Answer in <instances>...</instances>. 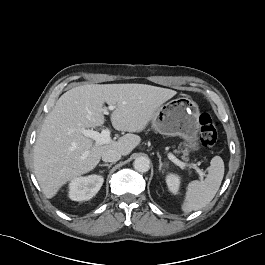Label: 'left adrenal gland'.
I'll return each instance as SVG.
<instances>
[{"label": "left adrenal gland", "mask_w": 265, "mask_h": 265, "mask_svg": "<svg viewBox=\"0 0 265 265\" xmlns=\"http://www.w3.org/2000/svg\"><path fill=\"white\" fill-rule=\"evenodd\" d=\"M158 157H159V171H162V172H163L162 168H163L164 166H166L167 163H163V162L161 161V156H160V155H158Z\"/></svg>", "instance_id": "a2214340"}]
</instances>
